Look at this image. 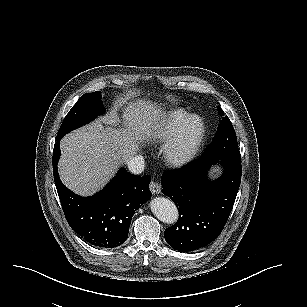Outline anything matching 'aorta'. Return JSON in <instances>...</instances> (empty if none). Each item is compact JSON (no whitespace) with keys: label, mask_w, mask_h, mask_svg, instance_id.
Here are the masks:
<instances>
[{"label":"aorta","mask_w":307,"mask_h":307,"mask_svg":"<svg viewBox=\"0 0 307 307\" xmlns=\"http://www.w3.org/2000/svg\"><path fill=\"white\" fill-rule=\"evenodd\" d=\"M149 209L155 217L165 223H174L178 217V210L172 200L156 196L150 199Z\"/></svg>","instance_id":"obj_1"}]
</instances>
